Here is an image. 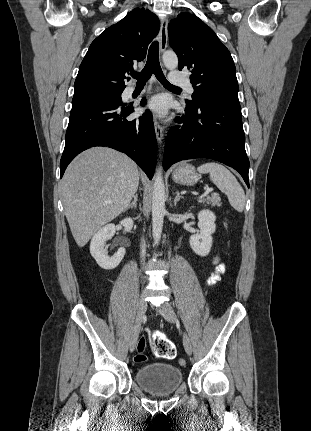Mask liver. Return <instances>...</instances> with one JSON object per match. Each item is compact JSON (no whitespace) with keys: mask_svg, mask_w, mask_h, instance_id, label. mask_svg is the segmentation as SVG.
<instances>
[{"mask_svg":"<svg viewBox=\"0 0 311 431\" xmlns=\"http://www.w3.org/2000/svg\"><path fill=\"white\" fill-rule=\"evenodd\" d=\"M139 178L137 164L111 148H91L69 164L61 192L65 216L79 247L130 206Z\"/></svg>","mask_w":311,"mask_h":431,"instance_id":"1","label":"liver"}]
</instances>
